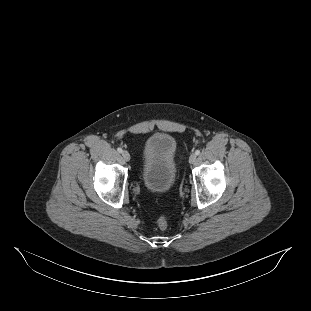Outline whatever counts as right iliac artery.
I'll list each match as a JSON object with an SVG mask.
<instances>
[{"label": "right iliac artery", "mask_w": 311, "mask_h": 311, "mask_svg": "<svg viewBox=\"0 0 311 311\" xmlns=\"http://www.w3.org/2000/svg\"><path fill=\"white\" fill-rule=\"evenodd\" d=\"M117 151H118L119 153H122V152H123L122 148H120V147L117 149Z\"/></svg>", "instance_id": "obj_1"}]
</instances>
